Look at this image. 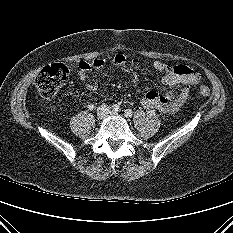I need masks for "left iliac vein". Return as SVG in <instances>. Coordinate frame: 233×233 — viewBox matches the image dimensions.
Returning <instances> with one entry per match:
<instances>
[{
	"instance_id": "4c4485c4",
	"label": "left iliac vein",
	"mask_w": 233,
	"mask_h": 233,
	"mask_svg": "<svg viewBox=\"0 0 233 233\" xmlns=\"http://www.w3.org/2000/svg\"><path fill=\"white\" fill-rule=\"evenodd\" d=\"M110 114L115 115V116L118 115V113H116V112H111Z\"/></svg>"
}]
</instances>
